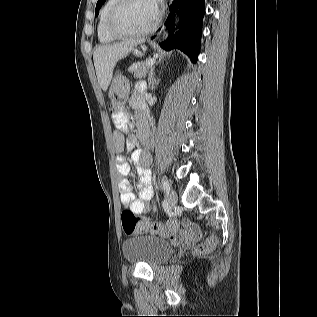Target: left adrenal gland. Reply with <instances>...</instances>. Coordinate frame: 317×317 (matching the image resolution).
<instances>
[{
  "instance_id": "obj_1",
  "label": "left adrenal gland",
  "mask_w": 317,
  "mask_h": 317,
  "mask_svg": "<svg viewBox=\"0 0 317 317\" xmlns=\"http://www.w3.org/2000/svg\"><path fill=\"white\" fill-rule=\"evenodd\" d=\"M154 68L151 69L150 74H149V78H148V83H149V88L153 89V84H154Z\"/></svg>"
}]
</instances>
